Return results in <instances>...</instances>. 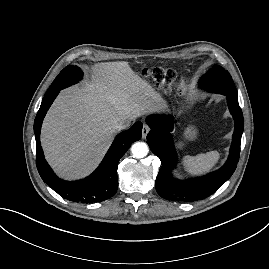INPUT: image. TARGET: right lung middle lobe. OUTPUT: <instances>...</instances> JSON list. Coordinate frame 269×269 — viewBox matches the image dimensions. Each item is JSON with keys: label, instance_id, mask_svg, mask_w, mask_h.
Instances as JSON below:
<instances>
[{"label": "right lung middle lobe", "instance_id": "right-lung-middle-lobe-1", "mask_svg": "<svg viewBox=\"0 0 269 269\" xmlns=\"http://www.w3.org/2000/svg\"><path fill=\"white\" fill-rule=\"evenodd\" d=\"M82 76L83 72L78 66L68 65L55 78L54 82L47 90L45 96L51 94L54 91L64 89L77 83L79 80H81Z\"/></svg>", "mask_w": 269, "mask_h": 269}]
</instances>
